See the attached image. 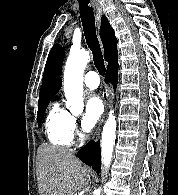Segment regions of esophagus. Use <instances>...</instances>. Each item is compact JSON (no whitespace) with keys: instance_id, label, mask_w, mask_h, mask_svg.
<instances>
[{"instance_id":"esophagus-1","label":"esophagus","mask_w":178,"mask_h":195,"mask_svg":"<svg viewBox=\"0 0 178 195\" xmlns=\"http://www.w3.org/2000/svg\"><path fill=\"white\" fill-rule=\"evenodd\" d=\"M94 12H95L97 30L99 31L100 24H101V17H102V8L98 3L94 4ZM101 48H102V44H101ZM102 50H103V48H102ZM103 101H104V112H103V115L98 122L96 131L94 134L95 140H97L100 136L102 125L106 119L108 110H109V108L112 104V101H113V94L111 91H103Z\"/></svg>"}]
</instances>
